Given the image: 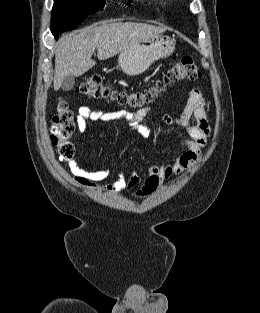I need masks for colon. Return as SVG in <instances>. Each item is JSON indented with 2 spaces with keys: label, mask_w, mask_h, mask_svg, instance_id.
<instances>
[{
  "label": "colon",
  "mask_w": 260,
  "mask_h": 313,
  "mask_svg": "<svg viewBox=\"0 0 260 313\" xmlns=\"http://www.w3.org/2000/svg\"><path fill=\"white\" fill-rule=\"evenodd\" d=\"M201 73L191 56L181 57L164 75L152 86L136 92L113 91L101 76L86 79L78 88L80 94L88 98H111L119 103L133 108L148 106L166 88L180 82L195 81ZM75 130V113L69 104L59 100L56 112L52 117L50 139L57 150L60 160L67 161L74 156L75 148L70 138Z\"/></svg>",
  "instance_id": "obj_1"
}]
</instances>
